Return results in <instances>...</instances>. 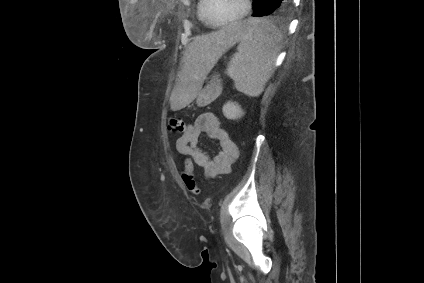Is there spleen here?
<instances>
[{
  "instance_id": "spleen-1",
  "label": "spleen",
  "mask_w": 424,
  "mask_h": 283,
  "mask_svg": "<svg viewBox=\"0 0 424 283\" xmlns=\"http://www.w3.org/2000/svg\"><path fill=\"white\" fill-rule=\"evenodd\" d=\"M247 31L230 60L226 74L233 79L238 91L252 97L259 96L271 77L282 36L273 23L248 19Z\"/></svg>"
}]
</instances>
